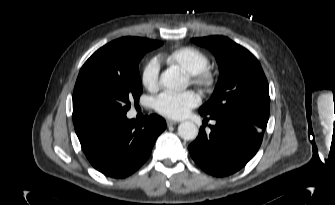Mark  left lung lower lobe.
<instances>
[{
	"instance_id": "obj_1",
	"label": "left lung lower lobe",
	"mask_w": 335,
	"mask_h": 205,
	"mask_svg": "<svg viewBox=\"0 0 335 205\" xmlns=\"http://www.w3.org/2000/svg\"><path fill=\"white\" fill-rule=\"evenodd\" d=\"M202 116L205 120H215L216 124L210 125V133L202 126L198 137L189 145L193 160L216 177L230 175L244 167L258 151L267 123L237 114Z\"/></svg>"
}]
</instances>
